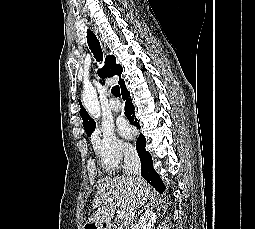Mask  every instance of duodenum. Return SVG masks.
<instances>
[{
  "label": "duodenum",
  "mask_w": 255,
  "mask_h": 229,
  "mask_svg": "<svg viewBox=\"0 0 255 229\" xmlns=\"http://www.w3.org/2000/svg\"><path fill=\"white\" fill-rule=\"evenodd\" d=\"M98 229H120V228L112 223H101L98 226Z\"/></svg>",
  "instance_id": "1"
}]
</instances>
